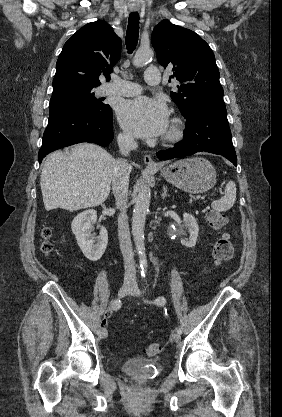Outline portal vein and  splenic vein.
Wrapping results in <instances>:
<instances>
[{
  "mask_svg": "<svg viewBox=\"0 0 282 417\" xmlns=\"http://www.w3.org/2000/svg\"><path fill=\"white\" fill-rule=\"evenodd\" d=\"M194 200L207 201L209 200V197L208 195L197 194L196 197H194Z\"/></svg>",
  "mask_w": 282,
  "mask_h": 417,
  "instance_id": "obj_1",
  "label": "portal vein and splenic vein"
}]
</instances>
